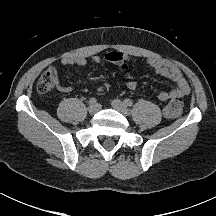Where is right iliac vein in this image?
<instances>
[{
	"label": "right iliac vein",
	"mask_w": 216,
	"mask_h": 216,
	"mask_svg": "<svg viewBox=\"0 0 216 216\" xmlns=\"http://www.w3.org/2000/svg\"><path fill=\"white\" fill-rule=\"evenodd\" d=\"M100 107L98 104H90L88 107V111L90 114H95L99 111Z\"/></svg>",
	"instance_id": "right-iliac-vein-1"
}]
</instances>
